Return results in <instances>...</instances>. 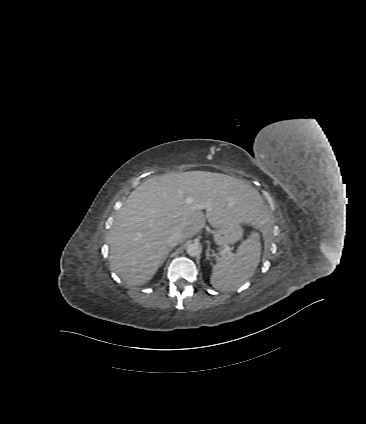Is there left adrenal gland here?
Returning <instances> with one entry per match:
<instances>
[{
  "label": "left adrenal gland",
  "mask_w": 366,
  "mask_h": 424,
  "mask_svg": "<svg viewBox=\"0 0 366 424\" xmlns=\"http://www.w3.org/2000/svg\"><path fill=\"white\" fill-rule=\"evenodd\" d=\"M210 251H211V249H210V245H209V246H208V249L206 250V256H207V259H209Z\"/></svg>",
  "instance_id": "1"
}]
</instances>
